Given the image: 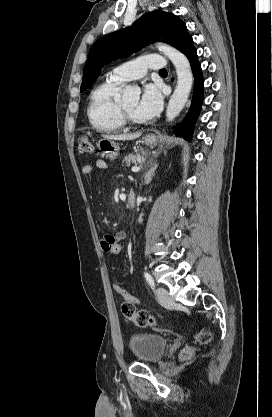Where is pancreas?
<instances>
[{
    "instance_id": "obj_1",
    "label": "pancreas",
    "mask_w": 272,
    "mask_h": 417,
    "mask_svg": "<svg viewBox=\"0 0 272 417\" xmlns=\"http://www.w3.org/2000/svg\"><path fill=\"white\" fill-rule=\"evenodd\" d=\"M143 160L144 158L140 155L129 154L125 156L122 162L125 163L127 166H130L131 163L133 164L142 163Z\"/></svg>"
}]
</instances>
